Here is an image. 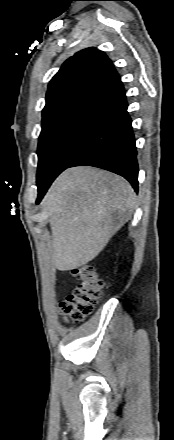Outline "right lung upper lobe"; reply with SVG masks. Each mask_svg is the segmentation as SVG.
I'll use <instances>...</instances> for the list:
<instances>
[{
	"label": "right lung upper lobe",
	"mask_w": 174,
	"mask_h": 440,
	"mask_svg": "<svg viewBox=\"0 0 174 440\" xmlns=\"http://www.w3.org/2000/svg\"><path fill=\"white\" fill-rule=\"evenodd\" d=\"M120 81L104 52L87 48L62 65L48 85L43 118L84 97L98 96Z\"/></svg>",
	"instance_id": "obj_1"
}]
</instances>
